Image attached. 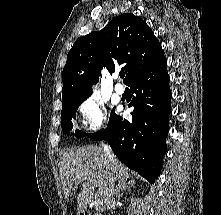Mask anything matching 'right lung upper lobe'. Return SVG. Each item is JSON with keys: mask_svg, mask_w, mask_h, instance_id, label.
Returning a JSON list of instances; mask_svg holds the SVG:
<instances>
[{"mask_svg": "<svg viewBox=\"0 0 221 215\" xmlns=\"http://www.w3.org/2000/svg\"><path fill=\"white\" fill-rule=\"evenodd\" d=\"M164 57V51L150 27L140 17L123 14L101 31L79 38L67 55L62 73V104L86 100L91 84L99 81L102 66L110 73L122 65L129 84Z\"/></svg>", "mask_w": 221, "mask_h": 215, "instance_id": "1", "label": "right lung upper lobe"}]
</instances>
